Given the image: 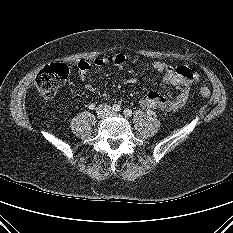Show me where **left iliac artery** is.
<instances>
[{
    "label": "left iliac artery",
    "mask_w": 233,
    "mask_h": 233,
    "mask_svg": "<svg viewBox=\"0 0 233 233\" xmlns=\"http://www.w3.org/2000/svg\"><path fill=\"white\" fill-rule=\"evenodd\" d=\"M124 115H125L126 117H130V116L132 115V111H131L130 109H125V110H124Z\"/></svg>",
    "instance_id": "1"
}]
</instances>
